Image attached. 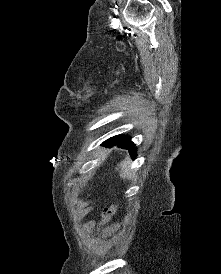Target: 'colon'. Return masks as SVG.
<instances>
[{
	"label": "colon",
	"mask_w": 221,
	"mask_h": 274,
	"mask_svg": "<svg viewBox=\"0 0 221 274\" xmlns=\"http://www.w3.org/2000/svg\"><path fill=\"white\" fill-rule=\"evenodd\" d=\"M114 212H115V207H114V206H111V207H109V208H106V209L104 210V213H103V218H104L105 220L109 219V218L114 214Z\"/></svg>",
	"instance_id": "1"
}]
</instances>
